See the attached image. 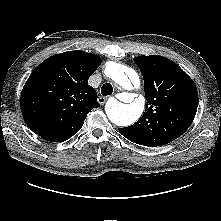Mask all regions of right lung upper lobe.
<instances>
[{
    "label": "right lung upper lobe",
    "instance_id": "right-lung-upper-lobe-1",
    "mask_svg": "<svg viewBox=\"0 0 221 221\" xmlns=\"http://www.w3.org/2000/svg\"><path fill=\"white\" fill-rule=\"evenodd\" d=\"M102 59L84 51H67L42 62L21 93L20 107L29 128L43 139L61 142L77 133L97 93L88 85Z\"/></svg>",
    "mask_w": 221,
    "mask_h": 221
}]
</instances>
